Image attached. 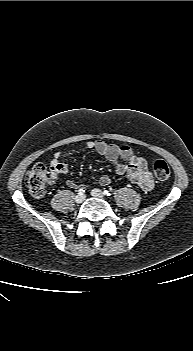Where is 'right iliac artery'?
<instances>
[{
  "label": "right iliac artery",
  "mask_w": 193,
  "mask_h": 351,
  "mask_svg": "<svg viewBox=\"0 0 193 351\" xmlns=\"http://www.w3.org/2000/svg\"><path fill=\"white\" fill-rule=\"evenodd\" d=\"M84 193H85V189H84V188H80V189L78 190V194H79V195H84Z\"/></svg>",
  "instance_id": "obj_1"
}]
</instances>
